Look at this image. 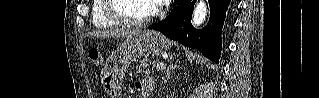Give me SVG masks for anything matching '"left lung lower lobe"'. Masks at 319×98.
<instances>
[{
  "mask_svg": "<svg viewBox=\"0 0 319 98\" xmlns=\"http://www.w3.org/2000/svg\"><path fill=\"white\" fill-rule=\"evenodd\" d=\"M210 19L202 30L191 25L195 0H175L171 13L163 21L149 26L168 38L195 48L210 60L218 63L222 48L221 31L230 0H208Z\"/></svg>",
  "mask_w": 319,
  "mask_h": 98,
  "instance_id": "left-lung-lower-lobe-1",
  "label": "left lung lower lobe"
}]
</instances>
